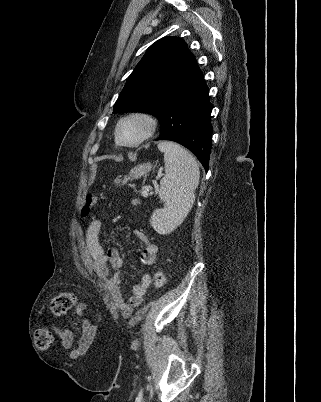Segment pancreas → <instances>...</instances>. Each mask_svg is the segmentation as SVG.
<instances>
[{"instance_id": "pancreas-1", "label": "pancreas", "mask_w": 321, "mask_h": 402, "mask_svg": "<svg viewBox=\"0 0 321 402\" xmlns=\"http://www.w3.org/2000/svg\"><path fill=\"white\" fill-rule=\"evenodd\" d=\"M138 203H139V200H138V199H133V200H132V204H133V205H136V204H138Z\"/></svg>"}]
</instances>
